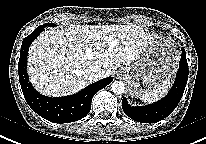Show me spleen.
<instances>
[{
	"instance_id": "obj_1",
	"label": "spleen",
	"mask_w": 206,
	"mask_h": 144,
	"mask_svg": "<svg viewBox=\"0 0 206 144\" xmlns=\"http://www.w3.org/2000/svg\"><path fill=\"white\" fill-rule=\"evenodd\" d=\"M171 86V82H165L163 85H161L159 88L154 89L152 91H149L145 94H143L140 99L144 102V103H154L157 100H159L160 98H162L163 96H165L168 91L169 88Z\"/></svg>"
}]
</instances>
